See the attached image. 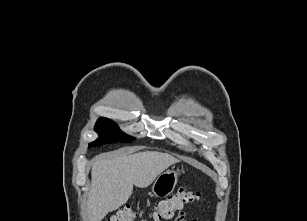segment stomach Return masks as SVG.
I'll list each match as a JSON object with an SVG mask.
<instances>
[{"label":"stomach","instance_id":"0dacf381","mask_svg":"<svg viewBox=\"0 0 307 221\" xmlns=\"http://www.w3.org/2000/svg\"><path fill=\"white\" fill-rule=\"evenodd\" d=\"M178 175L179 170L173 169L159 174L151 187L152 193L157 197L169 196L177 184Z\"/></svg>","mask_w":307,"mask_h":221}]
</instances>
